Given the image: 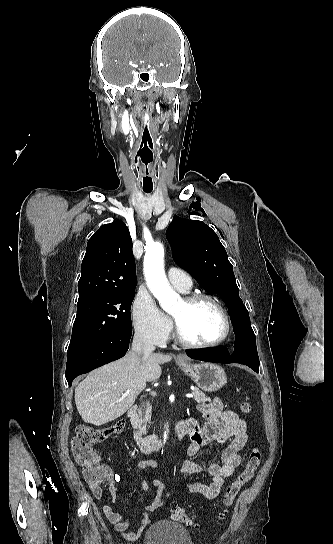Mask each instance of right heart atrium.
Segmentation results:
<instances>
[{
    "instance_id": "right-heart-atrium-1",
    "label": "right heart atrium",
    "mask_w": 333,
    "mask_h": 544,
    "mask_svg": "<svg viewBox=\"0 0 333 544\" xmlns=\"http://www.w3.org/2000/svg\"><path fill=\"white\" fill-rule=\"evenodd\" d=\"M132 322L136 334L143 340L164 344L172 330L170 319L159 309L148 292H139L132 303Z\"/></svg>"
}]
</instances>
